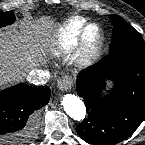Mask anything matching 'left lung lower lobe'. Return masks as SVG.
<instances>
[{
  "label": "left lung lower lobe",
  "instance_id": "1",
  "mask_svg": "<svg viewBox=\"0 0 145 145\" xmlns=\"http://www.w3.org/2000/svg\"><path fill=\"white\" fill-rule=\"evenodd\" d=\"M114 88L102 96L105 80ZM77 92L84 99L88 118L77 127L90 144L111 145L129 137L145 118V57L117 52L84 69L77 77Z\"/></svg>",
  "mask_w": 145,
  "mask_h": 145
}]
</instances>
